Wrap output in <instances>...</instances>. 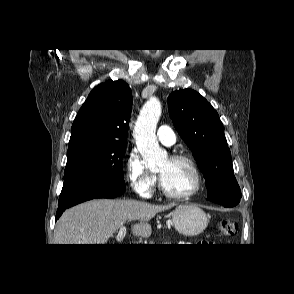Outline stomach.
<instances>
[{
	"mask_svg": "<svg viewBox=\"0 0 294 294\" xmlns=\"http://www.w3.org/2000/svg\"><path fill=\"white\" fill-rule=\"evenodd\" d=\"M172 223L179 233L185 236H196L205 230L208 218L197 205H179L172 212Z\"/></svg>",
	"mask_w": 294,
	"mask_h": 294,
	"instance_id": "1",
	"label": "stomach"
}]
</instances>
